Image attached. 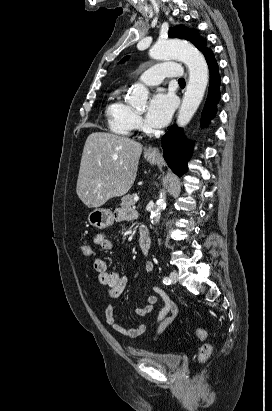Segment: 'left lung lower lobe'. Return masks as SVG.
I'll use <instances>...</instances> for the list:
<instances>
[{
	"instance_id": "0a47b994",
	"label": "left lung lower lobe",
	"mask_w": 272,
	"mask_h": 411,
	"mask_svg": "<svg viewBox=\"0 0 272 411\" xmlns=\"http://www.w3.org/2000/svg\"><path fill=\"white\" fill-rule=\"evenodd\" d=\"M204 56L210 70L208 96L202 111V124L207 125L216 114V105L220 100L219 86L221 79L213 52L209 50ZM162 148L164 158L174 172L179 176L185 173L191 154V146L184 139L182 129L173 125L162 137Z\"/></svg>"
}]
</instances>
